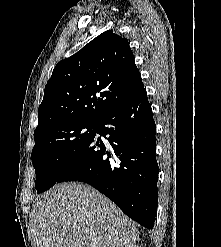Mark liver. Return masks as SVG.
<instances>
[{"instance_id": "obj_1", "label": "liver", "mask_w": 221, "mask_h": 247, "mask_svg": "<svg viewBox=\"0 0 221 247\" xmlns=\"http://www.w3.org/2000/svg\"><path fill=\"white\" fill-rule=\"evenodd\" d=\"M31 224L36 247H122L139 239L113 202L76 182L56 185L37 199Z\"/></svg>"}]
</instances>
